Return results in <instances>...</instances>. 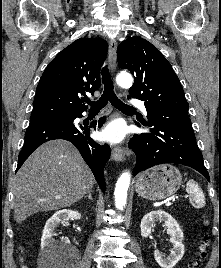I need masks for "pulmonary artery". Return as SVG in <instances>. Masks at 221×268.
Wrapping results in <instances>:
<instances>
[{
	"mask_svg": "<svg viewBox=\"0 0 221 268\" xmlns=\"http://www.w3.org/2000/svg\"><path fill=\"white\" fill-rule=\"evenodd\" d=\"M132 105L142 110L144 113L147 112L144 102L140 100H133Z\"/></svg>",
	"mask_w": 221,
	"mask_h": 268,
	"instance_id": "e3ab8cb5",
	"label": "pulmonary artery"
}]
</instances>
